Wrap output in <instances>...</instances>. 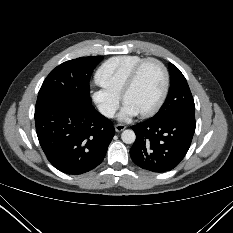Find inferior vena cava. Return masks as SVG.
<instances>
[{
	"instance_id": "602c4592",
	"label": "inferior vena cava",
	"mask_w": 233,
	"mask_h": 233,
	"mask_svg": "<svg viewBox=\"0 0 233 233\" xmlns=\"http://www.w3.org/2000/svg\"><path fill=\"white\" fill-rule=\"evenodd\" d=\"M98 109L102 115L109 117V118H112L115 114V111H116L115 108H113L109 105H106V104L98 105Z\"/></svg>"
}]
</instances>
